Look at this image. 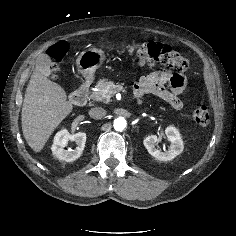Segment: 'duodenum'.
Returning a JSON list of instances; mask_svg holds the SVG:
<instances>
[{
  "label": "duodenum",
  "instance_id": "duodenum-1",
  "mask_svg": "<svg viewBox=\"0 0 236 236\" xmlns=\"http://www.w3.org/2000/svg\"><path fill=\"white\" fill-rule=\"evenodd\" d=\"M89 81L84 80L70 95V101L74 105L81 106L87 101Z\"/></svg>",
  "mask_w": 236,
  "mask_h": 236
}]
</instances>
